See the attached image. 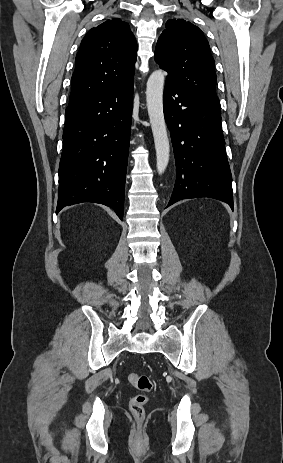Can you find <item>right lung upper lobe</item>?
<instances>
[{"instance_id": "obj_1", "label": "right lung upper lobe", "mask_w": 283, "mask_h": 463, "mask_svg": "<svg viewBox=\"0 0 283 463\" xmlns=\"http://www.w3.org/2000/svg\"><path fill=\"white\" fill-rule=\"evenodd\" d=\"M137 43L120 18L92 28L83 38L71 78L69 103L134 79Z\"/></svg>"}]
</instances>
